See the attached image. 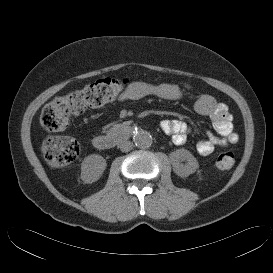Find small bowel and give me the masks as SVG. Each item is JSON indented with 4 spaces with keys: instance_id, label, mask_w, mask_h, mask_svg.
Returning a JSON list of instances; mask_svg holds the SVG:
<instances>
[{
    "instance_id": "c3829d8e",
    "label": "small bowel",
    "mask_w": 273,
    "mask_h": 273,
    "mask_svg": "<svg viewBox=\"0 0 273 273\" xmlns=\"http://www.w3.org/2000/svg\"><path fill=\"white\" fill-rule=\"evenodd\" d=\"M184 88L187 83L150 84L144 81L131 82L127 91L120 98L124 100H139L147 96H156L166 100L180 101L184 98ZM195 111L211 119L215 132L206 131V138L197 142V151L203 156L211 154L216 148L233 145L238 142V135L232 128V117L226 105L219 103L210 95L199 96L194 103ZM161 129L172 136L175 145L186 143L191 127L184 121L164 120Z\"/></svg>"
}]
</instances>
